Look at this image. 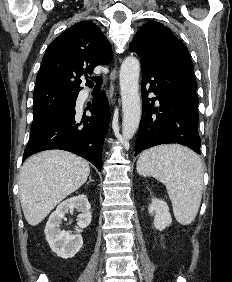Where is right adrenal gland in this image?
<instances>
[{
	"instance_id": "right-adrenal-gland-1",
	"label": "right adrenal gland",
	"mask_w": 232,
	"mask_h": 282,
	"mask_svg": "<svg viewBox=\"0 0 232 282\" xmlns=\"http://www.w3.org/2000/svg\"><path fill=\"white\" fill-rule=\"evenodd\" d=\"M93 181H94V180H92V179H91V176H90V177H89V182H93ZM89 182H88V183H89Z\"/></svg>"
}]
</instances>
